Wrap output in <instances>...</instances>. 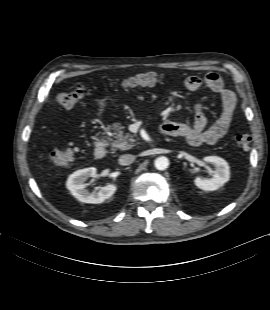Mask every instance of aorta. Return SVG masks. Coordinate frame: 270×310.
Masks as SVG:
<instances>
[{"label": "aorta", "mask_w": 270, "mask_h": 310, "mask_svg": "<svg viewBox=\"0 0 270 310\" xmlns=\"http://www.w3.org/2000/svg\"><path fill=\"white\" fill-rule=\"evenodd\" d=\"M154 165L157 170H165L169 166V160L164 156H160L155 159Z\"/></svg>", "instance_id": "obj_1"}]
</instances>
